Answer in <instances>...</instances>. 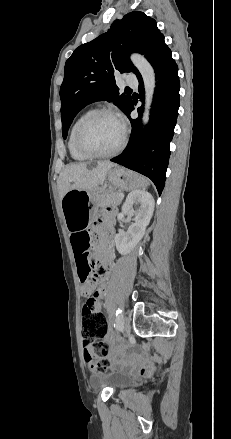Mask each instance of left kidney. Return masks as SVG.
Listing matches in <instances>:
<instances>
[{"label": "left kidney", "mask_w": 231, "mask_h": 439, "mask_svg": "<svg viewBox=\"0 0 231 439\" xmlns=\"http://www.w3.org/2000/svg\"><path fill=\"white\" fill-rule=\"evenodd\" d=\"M154 198L144 190H135L128 194L118 219L124 216L134 217V223L129 226L126 232L121 231L115 236V244L118 252L122 255L131 252L145 234L146 227L149 225L154 211ZM139 205L138 210L133 206Z\"/></svg>", "instance_id": "5707ae66"}]
</instances>
